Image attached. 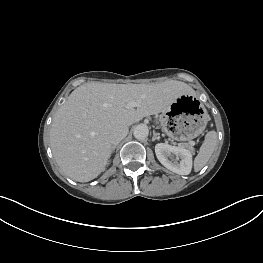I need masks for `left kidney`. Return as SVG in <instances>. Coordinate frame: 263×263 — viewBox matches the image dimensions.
<instances>
[{"instance_id":"5707ae66","label":"left kidney","mask_w":263,"mask_h":263,"mask_svg":"<svg viewBox=\"0 0 263 263\" xmlns=\"http://www.w3.org/2000/svg\"><path fill=\"white\" fill-rule=\"evenodd\" d=\"M155 153L159 162L170 171L179 175L190 174L192 154L189 150L166 143H158L155 146Z\"/></svg>"}]
</instances>
